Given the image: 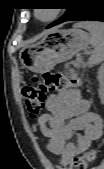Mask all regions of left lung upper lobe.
I'll use <instances>...</instances> for the list:
<instances>
[{
	"instance_id": "1",
	"label": "left lung upper lobe",
	"mask_w": 104,
	"mask_h": 169,
	"mask_svg": "<svg viewBox=\"0 0 104 169\" xmlns=\"http://www.w3.org/2000/svg\"><path fill=\"white\" fill-rule=\"evenodd\" d=\"M78 1L79 0H71L69 1L70 2V8H67V11L66 13L60 18L58 19L57 21H55L54 23L50 24L48 27H51V26H54V25H57L59 23H61L64 19H66L68 16H70L77 8V5H78Z\"/></svg>"
}]
</instances>
